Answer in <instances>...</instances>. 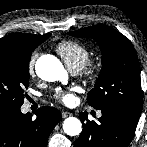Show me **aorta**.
I'll return each mask as SVG.
<instances>
[{
    "instance_id": "obj_1",
    "label": "aorta",
    "mask_w": 147,
    "mask_h": 147,
    "mask_svg": "<svg viewBox=\"0 0 147 147\" xmlns=\"http://www.w3.org/2000/svg\"><path fill=\"white\" fill-rule=\"evenodd\" d=\"M35 70L38 77L45 81L65 82L68 79V74L63 64L53 55L39 57L35 63ZM63 130L69 136H76L81 133L82 124L79 119L69 117L63 122Z\"/></svg>"
}]
</instances>
